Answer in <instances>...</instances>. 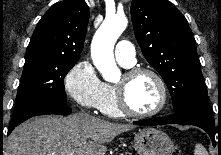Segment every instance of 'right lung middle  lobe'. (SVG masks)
Here are the masks:
<instances>
[{
  "instance_id": "obj_1",
  "label": "right lung middle lobe",
  "mask_w": 221,
  "mask_h": 155,
  "mask_svg": "<svg viewBox=\"0 0 221 155\" xmlns=\"http://www.w3.org/2000/svg\"><path fill=\"white\" fill-rule=\"evenodd\" d=\"M77 61L26 58L18 88L14 116L42 102L66 103L64 77Z\"/></svg>"
}]
</instances>
